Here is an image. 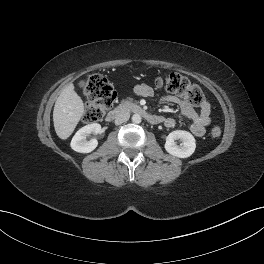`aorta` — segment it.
I'll list each match as a JSON object with an SVG mask.
<instances>
[{"mask_svg":"<svg viewBox=\"0 0 264 264\" xmlns=\"http://www.w3.org/2000/svg\"><path fill=\"white\" fill-rule=\"evenodd\" d=\"M141 121H142V118L139 114L136 113L132 116V122L133 123L139 124V123H141Z\"/></svg>","mask_w":264,"mask_h":264,"instance_id":"1","label":"aorta"}]
</instances>
